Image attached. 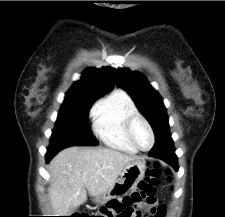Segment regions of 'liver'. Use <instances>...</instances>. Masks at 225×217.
Listing matches in <instances>:
<instances>
[{
    "label": "liver",
    "mask_w": 225,
    "mask_h": 217,
    "mask_svg": "<svg viewBox=\"0 0 225 217\" xmlns=\"http://www.w3.org/2000/svg\"><path fill=\"white\" fill-rule=\"evenodd\" d=\"M138 157L110 148L69 147L49 164V197L57 216H68L90 196L111 189L124 167Z\"/></svg>",
    "instance_id": "1"
}]
</instances>
